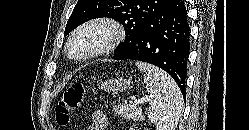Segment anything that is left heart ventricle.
<instances>
[{
  "label": "left heart ventricle",
  "mask_w": 249,
  "mask_h": 130,
  "mask_svg": "<svg viewBox=\"0 0 249 130\" xmlns=\"http://www.w3.org/2000/svg\"><path fill=\"white\" fill-rule=\"evenodd\" d=\"M109 37V33L103 28L90 29L75 38L70 46V52L75 56H81L91 49L99 46Z\"/></svg>",
  "instance_id": "left-heart-ventricle-1"
}]
</instances>
